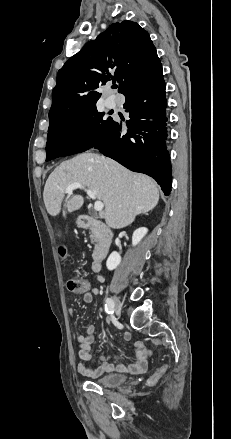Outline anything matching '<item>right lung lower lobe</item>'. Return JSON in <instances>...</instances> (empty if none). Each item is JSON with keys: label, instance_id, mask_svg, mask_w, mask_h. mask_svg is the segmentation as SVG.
I'll return each mask as SVG.
<instances>
[{"label": "right lung lower lobe", "instance_id": "obj_1", "mask_svg": "<svg viewBox=\"0 0 231 439\" xmlns=\"http://www.w3.org/2000/svg\"><path fill=\"white\" fill-rule=\"evenodd\" d=\"M127 132L113 121L93 146L128 169L153 177L165 195L171 191L172 170L166 148V97L163 75L129 93Z\"/></svg>", "mask_w": 231, "mask_h": 439}]
</instances>
